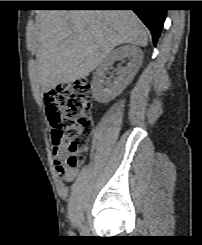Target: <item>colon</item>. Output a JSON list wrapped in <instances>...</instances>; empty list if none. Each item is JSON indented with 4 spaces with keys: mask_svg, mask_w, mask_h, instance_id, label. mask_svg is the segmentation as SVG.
Here are the masks:
<instances>
[{
    "mask_svg": "<svg viewBox=\"0 0 202 245\" xmlns=\"http://www.w3.org/2000/svg\"><path fill=\"white\" fill-rule=\"evenodd\" d=\"M92 90L88 82L63 84L56 96L52 118V145L65 143L64 154L69 167H77L82 160L92 130L90 112Z\"/></svg>",
    "mask_w": 202,
    "mask_h": 245,
    "instance_id": "5ec220e1",
    "label": "colon"
}]
</instances>
